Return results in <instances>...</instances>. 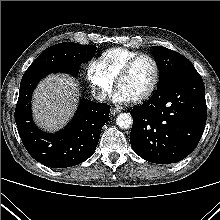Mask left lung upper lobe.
Instances as JSON below:
<instances>
[{"mask_svg":"<svg viewBox=\"0 0 220 220\" xmlns=\"http://www.w3.org/2000/svg\"><path fill=\"white\" fill-rule=\"evenodd\" d=\"M152 53L159 69V85L174 73L194 67L186 57L168 48L155 46Z\"/></svg>","mask_w":220,"mask_h":220,"instance_id":"left-lung-upper-lobe-1","label":"left lung upper lobe"}]
</instances>
